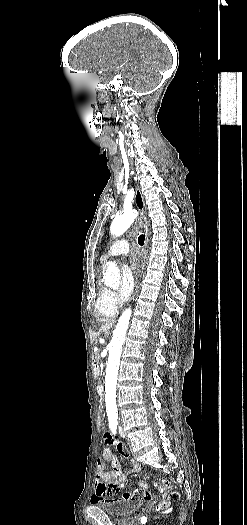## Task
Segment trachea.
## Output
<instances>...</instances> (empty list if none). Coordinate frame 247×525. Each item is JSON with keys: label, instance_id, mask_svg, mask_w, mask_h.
<instances>
[{"label": "trachea", "instance_id": "trachea-1", "mask_svg": "<svg viewBox=\"0 0 247 525\" xmlns=\"http://www.w3.org/2000/svg\"><path fill=\"white\" fill-rule=\"evenodd\" d=\"M144 242H145V235L141 234L139 235L138 237V243L140 246L144 245Z\"/></svg>", "mask_w": 247, "mask_h": 525}]
</instances>
